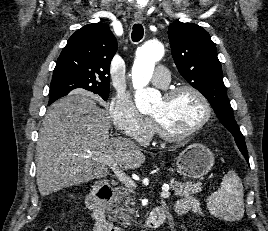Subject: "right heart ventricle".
Here are the masks:
<instances>
[{"mask_svg": "<svg viewBox=\"0 0 268 231\" xmlns=\"http://www.w3.org/2000/svg\"><path fill=\"white\" fill-rule=\"evenodd\" d=\"M154 132H156V129H155L154 126H153V133H154Z\"/></svg>", "mask_w": 268, "mask_h": 231, "instance_id": "obj_1", "label": "right heart ventricle"}]
</instances>
